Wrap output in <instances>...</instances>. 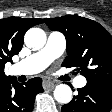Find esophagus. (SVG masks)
<instances>
[{"instance_id":"esophagus-1","label":"esophagus","mask_w":112,"mask_h":112,"mask_svg":"<svg viewBox=\"0 0 112 112\" xmlns=\"http://www.w3.org/2000/svg\"><path fill=\"white\" fill-rule=\"evenodd\" d=\"M56 84H57L56 81L46 79V80L43 81V88L46 89V90H52L55 87Z\"/></svg>"}]
</instances>
